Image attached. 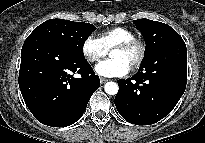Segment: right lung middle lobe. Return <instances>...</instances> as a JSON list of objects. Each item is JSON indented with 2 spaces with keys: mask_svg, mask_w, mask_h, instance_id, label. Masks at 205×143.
Listing matches in <instances>:
<instances>
[{
  "mask_svg": "<svg viewBox=\"0 0 205 143\" xmlns=\"http://www.w3.org/2000/svg\"><path fill=\"white\" fill-rule=\"evenodd\" d=\"M95 29L89 23L50 19L40 24L30 35L49 38L73 53L84 56V42Z\"/></svg>",
  "mask_w": 205,
  "mask_h": 143,
  "instance_id": "dd1d6c3e",
  "label": "right lung middle lobe"
}]
</instances>
